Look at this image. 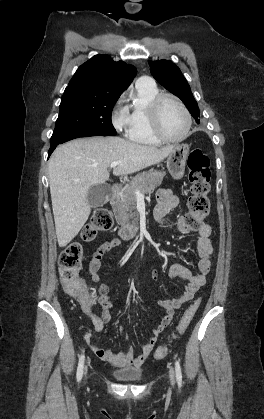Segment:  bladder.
Segmentation results:
<instances>
[{
    "mask_svg": "<svg viewBox=\"0 0 264 419\" xmlns=\"http://www.w3.org/2000/svg\"><path fill=\"white\" fill-rule=\"evenodd\" d=\"M115 379L122 382H138L143 378V370L139 368H125L112 372Z\"/></svg>",
    "mask_w": 264,
    "mask_h": 419,
    "instance_id": "1",
    "label": "bladder"
}]
</instances>
